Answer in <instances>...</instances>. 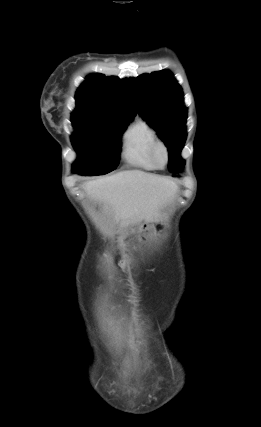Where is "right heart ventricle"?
Here are the masks:
<instances>
[{
	"mask_svg": "<svg viewBox=\"0 0 261 427\" xmlns=\"http://www.w3.org/2000/svg\"><path fill=\"white\" fill-rule=\"evenodd\" d=\"M158 140L153 126L145 118H139L121 136V157L130 167L145 171L157 170L151 152Z\"/></svg>",
	"mask_w": 261,
	"mask_h": 427,
	"instance_id": "e07e8e85",
	"label": "right heart ventricle"
}]
</instances>
